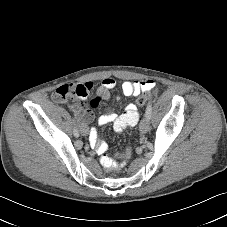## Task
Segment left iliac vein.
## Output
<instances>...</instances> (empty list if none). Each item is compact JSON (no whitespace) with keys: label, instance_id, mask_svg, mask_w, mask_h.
I'll list each match as a JSON object with an SVG mask.
<instances>
[{"label":"left iliac vein","instance_id":"1","mask_svg":"<svg viewBox=\"0 0 227 227\" xmlns=\"http://www.w3.org/2000/svg\"><path fill=\"white\" fill-rule=\"evenodd\" d=\"M139 129L141 133H147L150 129L149 118L145 115V117L141 120Z\"/></svg>","mask_w":227,"mask_h":227}]
</instances>
